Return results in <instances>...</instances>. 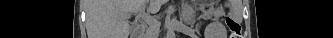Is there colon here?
<instances>
[{"mask_svg":"<svg viewBox=\"0 0 333 38\" xmlns=\"http://www.w3.org/2000/svg\"><path fill=\"white\" fill-rule=\"evenodd\" d=\"M226 25L231 31V37L230 38H242V29L240 23L235 20L234 18L227 16L226 19Z\"/></svg>","mask_w":333,"mask_h":38,"instance_id":"obj_1","label":"colon"}]
</instances>
